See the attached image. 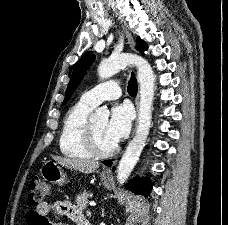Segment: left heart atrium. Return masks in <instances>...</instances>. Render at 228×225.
<instances>
[{
	"label": "left heart atrium",
	"mask_w": 228,
	"mask_h": 225,
	"mask_svg": "<svg viewBox=\"0 0 228 225\" xmlns=\"http://www.w3.org/2000/svg\"><path fill=\"white\" fill-rule=\"evenodd\" d=\"M132 111L127 104H119L112 108L106 127V136L113 142L125 138L131 128Z\"/></svg>",
	"instance_id": "1"
}]
</instances>
